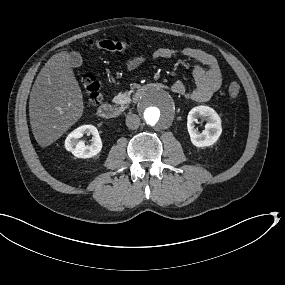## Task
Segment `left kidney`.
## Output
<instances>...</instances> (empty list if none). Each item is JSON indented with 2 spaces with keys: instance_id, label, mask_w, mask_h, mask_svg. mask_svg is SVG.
I'll return each mask as SVG.
<instances>
[{
  "instance_id": "obj_1",
  "label": "left kidney",
  "mask_w": 285,
  "mask_h": 285,
  "mask_svg": "<svg viewBox=\"0 0 285 285\" xmlns=\"http://www.w3.org/2000/svg\"><path fill=\"white\" fill-rule=\"evenodd\" d=\"M199 117L204 118L207 123L205 130L199 134L194 129V123ZM187 128L192 145L197 148L210 147L215 144L222 134V120L214 109L208 106L194 107L188 114Z\"/></svg>"
}]
</instances>
